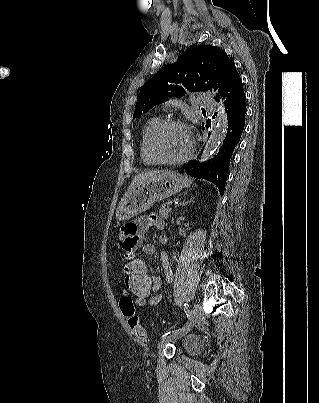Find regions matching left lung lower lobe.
<instances>
[{
    "instance_id": "0a47b994",
    "label": "left lung lower lobe",
    "mask_w": 319,
    "mask_h": 403,
    "mask_svg": "<svg viewBox=\"0 0 319 403\" xmlns=\"http://www.w3.org/2000/svg\"><path fill=\"white\" fill-rule=\"evenodd\" d=\"M219 93L216 96L218 102L219 94L225 99V107L227 109L228 128L225 140L219 152L212 160L204 163L191 161L181 169L192 177L202 178L213 182L219 189L220 193H224L229 161L233 150L240 140L245 125V94L243 90L242 80L232 64L226 71L222 82L219 86ZM206 127L208 125L206 124ZM204 129V126H203Z\"/></svg>"
}]
</instances>
